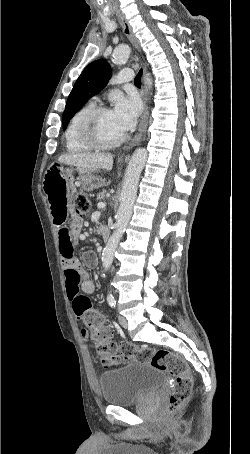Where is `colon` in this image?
Returning a JSON list of instances; mask_svg holds the SVG:
<instances>
[{
    "instance_id": "5ec220e1",
    "label": "colon",
    "mask_w": 250,
    "mask_h": 454,
    "mask_svg": "<svg viewBox=\"0 0 250 454\" xmlns=\"http://www.w3.org/2000/svg\"><path fill=\"white\" fill-rule=\"evenodd\" d=\"M90 200L84 192L75 194L73 214L82 216L89 211ZM87 326L91 330V341L102 362L109 365L121 359L133 358L138 362L149 363L154 368L166 372L174 378V387L168 402V411L177 412L190 397L193 376L186 360L178 353L150 347H137L124 342L117 346L111 341L112 331L105 323L103 315H91Z\"/></svg>"
}]
</instances>
